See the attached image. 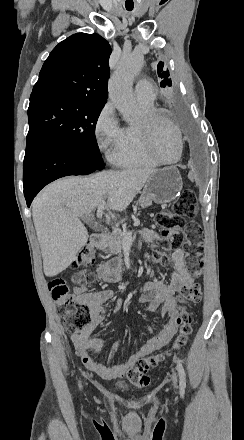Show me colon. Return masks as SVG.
I'll list each match as a JSON object with an SVG mask.
<instances>
[{
    "instance_id": "1",
    "label": "colon",
    "mask_w": 244,
    "mask_h": 440,
    "mask_svg": "<svg viewBox=\"0 0 244 440\" xmlns=\"http://www.w3.org/2000/svg\"><path fill=\"white\" fill-rule=\"evenodd\" d=\"M198 215V206L195 192L192 189L184 190L179 200L174 204L172 212H161L157 215V225L163 229L164 238L155 240L157 257L160 261H166L165 251L183 247L186 252V266L189 272L196 278L203 274V228L193 219ZM188 221V222H187ZM81 256L85 257L81 263L74 264L75 272H86L87 266L94 259L93 248H82ZM48 289L52 300L56 303L58 313L61 317L67 318L66 325L69 329L80 328V319H87L89 312L88 304H76L73 294L61 277L50 278ZM180 301L184 304L181 316L175 319L178 333L170 348L164 354H151L146 357L137 358L133 361L129 380L134 384L147 382L148 372L155 369L172 353L182 350L192 330L193 317L187 303L200 302L202 290L199 285L186 286L179 293Z\"/></svg>"
}]
</instances>
